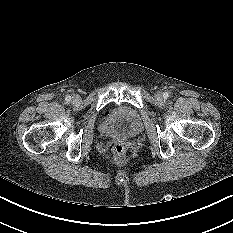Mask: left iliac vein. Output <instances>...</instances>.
Segmentation results:
<instances>
[{
	"label": "left iliac vein",
	"instance_id": "4c4485c4",
	"mask_svg": "<svg viewBox=\"0 0 233 233\" xmlns=\"http://www.w3.org/2000/svg\"><path fill=\"white\" fill-rule=\"evenodd\" d=\"M155 97L158 99V100H163V93L162 92H157L155 94Z\"/></svg>",
	"mask_w": 233,
	"mask_h": 233
}]
</instances>
